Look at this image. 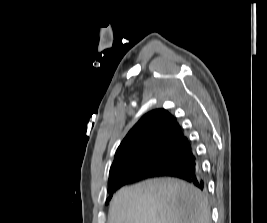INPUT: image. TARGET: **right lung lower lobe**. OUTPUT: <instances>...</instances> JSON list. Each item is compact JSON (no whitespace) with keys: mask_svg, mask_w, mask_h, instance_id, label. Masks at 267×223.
<instances>
[{"mask_svg":"<svg viewBox=\"0 0 267 223\" xmlns=\"http://www.w3.org/2000/svg\"><path fill=\"white\" fill-rule=\"evenodd\" d=\"M160 176L175 177L185 180L189 183L194 184L201 190H203L205 187L198 157L190 146L186 153L169 170L163 173H154L150 170H133L119 174L112 179H109L108 191L110 192V194H113L123 185L146 178Z\"/></svg>","mask_w":267,"mask_h":223,"instance_id":"98d812e1","label":"right lung lower lobe"}]
</instances>
